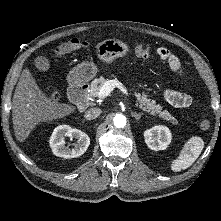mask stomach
Listing matches in <instances>:
<instances>
[{"label": "stomach", "instance_id": "obj_1", "mask_svg": "<svg viewBox=\"0 0 221 221\" xmlns=\"http://www.w3.org/2000/svg\"><path fill=\"white\" fill-rule=\"evenodd\" d=\"M129 51V46L117 39H106L96 47L97 57L107 64L112 63L117 58L126 56ZM97 72V66L93 61L82 62L70 71L68 80L71 84L78 85L90 81Z\"/></svg>", "mask_w": 221, "mask_h": 221}]
</instances>
